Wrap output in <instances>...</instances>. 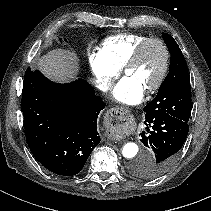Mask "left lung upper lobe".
Listing matches in <instances>:
<instances>
[{
	"instance_id": "5c2ea615",
	"label": "left lung upper lobe",
	"mask_w": 211,
	"mask_h": 211,
	"mask_svg": "<svg viewBox=\"0 0 211 211\" xmlns=\"http://www.w3.org/2000/svg\"><path fill=\"white\" fill-rule=\"evenodd\" d=\"M170 57L169 73L156 97L144 107L146 117L170 115L188 123L191 114V87L186 60L174 38L163 33ZM133 172L139 176V171Z\"/></svg>"
}]
</instances>
